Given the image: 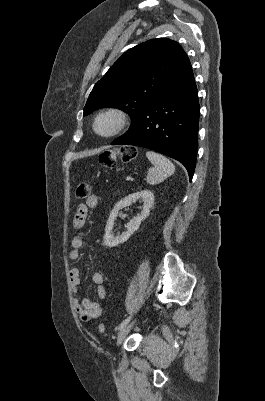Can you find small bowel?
<instances>
[{
    "label": "small bowel",
    "mask_w": 265,
    "mask_h": 401,
    "mask_svg": "<svg viewBox=\"0 0 265 401\" xmlns=\"http://www.w3.org/2000/svg\"><path fill=\"white\" fill-rule=\"evenodd\" d=\"M98 196L91 195L84 204H80L77 208L76 214L73 219V226L75 229H81L86 221L88 210L96 208L98 206ZM85 245V239L83 236L78 235L72 239L71 250L69 252V259L71 261H77L80 257V251ZM71 287L73 292L76 294L80 284V272L77 268H72L69 272ZM92 282L95 285L97 297L104 299L107 296V288L105 286V276L101 272H94L91 276ZM74 308L83 322H89L95 318H98L102 314V306L98 302H94L87 297L82 299L75 298Z\"/></svg>",
    "instance_id": "obj_1"
}]
</instances>
